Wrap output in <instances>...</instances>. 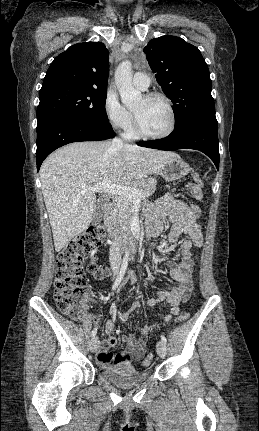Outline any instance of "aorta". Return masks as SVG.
<instances>
[{
	"mask_svg": "<svg viewBox=\"0 0 259 431\" xmlns=\"http://www.w3.org/2000/svg\"><path fill=\"white\" fill-rule=\"evenodd\" d=\"M115 83L121 96V101L128 109H132L141 102V92L132 85V65L130 61L126 60L119 64L115 71Z\"/></svg>",
	"mask_w": 259,
	"mask_h": 431,
	"instance_id": "aorta-1",
	"label": "aorta"
}]
</instances>
